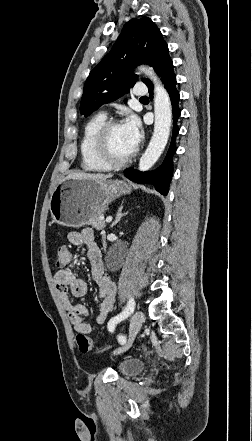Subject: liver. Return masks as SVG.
<instances>
[{"mask_svg":"<svg viewBox=\"0 0 252 441\" xmlns=\"http://www.w3.org/2000/svg\"><path fill=\"white\" fill-rule=\"evenodd\" d=\"M111 174H90V173H70L66 179H92L95 181H105L108 178H111Z\"/></svg>","mask_w":252,"mask_h":441,"instance_id":"liver-1","label":"liver"}]
</instances>
